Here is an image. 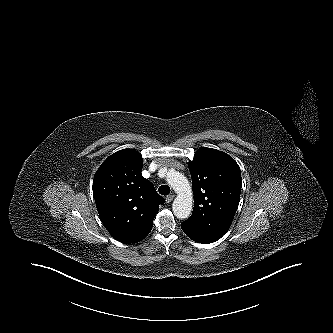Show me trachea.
<instances>
[{"instance_id": "trachea-1", "label": "trachea", "mask_w": 333, "mask_h": 333, "mask_svg": "<svg viewBox=\"0 0 333 333\" xmlns=\"http://www.w3.org/2000/svg\"><path fill=\"white\" fill-rule=\"evenodd\" d=\"M161 195H168L170 193V187L168 185H161L158 189Z\"/></svg>"}]
</instances>
